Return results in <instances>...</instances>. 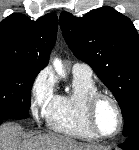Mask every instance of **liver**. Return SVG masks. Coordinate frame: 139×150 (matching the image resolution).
Segmentation results:
<instances>
[{"mask_svg": "<svg viewBox=\"0 0 139 150\" xmlns=\"http://www.w3.org/2000/svg\"><path fill=\"white\" fill-rule=\"evenodd\" d=\"M21 127L4 124L0 127V150H98L99 147L77 142L69 137L46 134L22 139Z\"/></svg>", "mask_w": 139, "mask_h": 150, "instance_id": "liver-1", "label": "liver"}]
</instances>
